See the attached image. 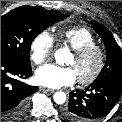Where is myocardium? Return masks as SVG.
Returning a JSON list of instances; mask_svg holds the SVG:
<instances>
[{
	"instance_id": "myocardium-1",
	"label": "myocardium",
	"mask_w": 122,
	"mask_h": 122,
	"mask_svg": "<svg viewBox=\"0 0 122 122\" xmlns=\"http://www.w3.org/2000/svg\"><path fill=\"white\" fill-rule=\"evenodd\" d=\"M91 54L97 56V65L90 75L86 77H77V80L81 85H90L99 78L105 67L106 53L105 50L97 44L88 45L73 51V55L78 61L85 59Z\"/></svg>"
}]
</instances>
